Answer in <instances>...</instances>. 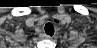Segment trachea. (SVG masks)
Segmentation results:
<instances>
[{"label": "trachea", "mask_w": 97, "mask_h": 48, "mask_svg": "<svg viewBox=\"0 0 97 48\" xmlns=\"http://www.w3.org/2000/svg\"><path fill=\"white\" fill-rule=\"evenodd\" d=\"M45 33L50 36L54 35V27L51 23L45 25Z\"/></svg>", "instance_id": "trachea-1"}]
</instances>
